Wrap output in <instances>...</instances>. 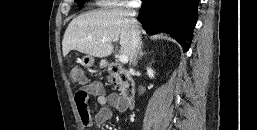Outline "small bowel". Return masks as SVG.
<instances>
[{
  "label": "small bowel",
  "instance_id": "1",
  "mask_svg": "<svg viewBox=\"0 0 257 130\" xmlns=\"http://www.w3.org/2000/svg\"><path fill=\"white\" fill-rule=\"evenodd\" d=\"M91 96L97 98L102 107L92 117L89 111L88 101ZM78 115L85 130H94L101 127L112 115L111 107L119 111L126 108L123 105L122 97L118 93L107 94L100 82H88L81 87L74 96Z\"/></svg>",
  "mask_w": 257,
  "mask_h": 130
}]
</instances>
